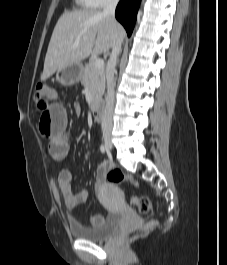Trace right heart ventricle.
<instances>
[{
	"label": "right heart ventricle",
	"instance_id": "right-heart-ventricle-1",
	"mask_svg": "<svg viewBox=\"0 0 227 265\" xmlns=\"http://www.w3.org/2000/svg\"><path fill=\"white\" fill-rule=\"evenodd\" d=\"M76 4L82 8H91L93 7L91 0H75Z\"/></svg>",
	"mask_w": 227,
	"mask_h": 265
}]
</instances>
